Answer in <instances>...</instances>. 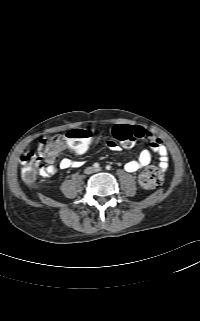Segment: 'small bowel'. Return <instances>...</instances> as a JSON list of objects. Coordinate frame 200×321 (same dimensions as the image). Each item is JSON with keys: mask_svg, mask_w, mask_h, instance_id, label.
<instances>
[{"mask_svg": "<svg viewBox=\"0 0 200 321\" xmlns=\"http://www.w3.org/2000/svg\"><path fill=\"white\" fill-rule=\"evenodd\" d=\"M139 130L141 136L140 138L145 139L149 143V149H144L140 152L139 156L135 160H131L125 164V170L127 172L133 173L139 169L150 164L152 160V153L159 155V166L161 169L165 170L168 167V152L165 145L160 139H158L151 131L146 130L143 127L136 126ZM109 149L112 151H119V145L113 140L107 142ZM64 149V147L52 158L47 160V166L40 169L39 174L42 177H50L58 172V170H65L72 168L76 165V162L72 161L69 158H63L60 160L59 164H55V160L58 154Z\"/></svg>", "mask_w": 200, "mask_h": 321, "instance_id": "c3829d8e", "label": "small bowel"}]
</instances>
